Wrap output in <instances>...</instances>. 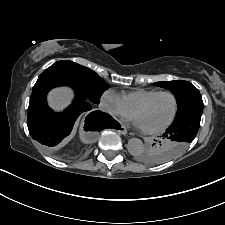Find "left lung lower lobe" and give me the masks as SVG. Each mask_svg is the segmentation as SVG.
Instances as JSON below:
<instances>
[{"label": "left lung lower lobe", "instance_id": "obj_1", "mask_svg": "<svg viewBox=\"0 0 225 225\" xmlns=\"http://www.w3.org/2000/svg\"><path fill=\"white\" fill-rule=\"evenodd\" d=\"M202 113H191L186 116L175 119L171 126L163 134V137H169L180 142L190 143L195 138L201 120ZM184 145L177 144L170 151V156L162 158L167 161L182 153ZM182 151V152H181Z\"/></svg>", "mask_w": 225, "mask_h": 225}]
</instances>
